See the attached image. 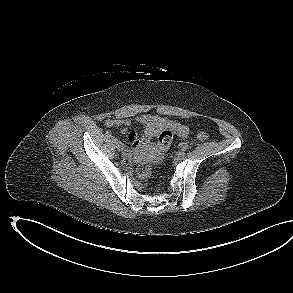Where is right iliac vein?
<instances>
[{"mask_svg": "<svg viewBox=\"0 0 293 293\" xmlns=\"http://www.w3.org/2000/svg\"><path fill=\"white\" fill-rule=\"evenodd\" d=\"M114 145L119 151L123 150V144L119 140H116Z\"/></svg>", "mask_w": 293, "mask_h": 293, "instance_id": "1", "label": "right iliac vein"}]
</instances>
